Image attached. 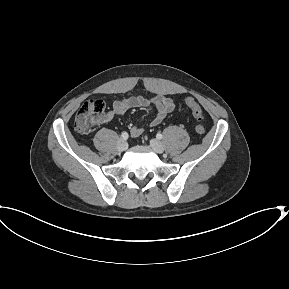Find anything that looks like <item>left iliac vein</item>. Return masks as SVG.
I'll use <instances>...</instances> for the list:
<instances>
[{
    "instance_id": "left-iliac-vein-1",
    "label": "left iliac vein",
    "mask_w": 289,
    "mask_h": 289,
    "mask_svg": "<svg viewBox=\"0 0 289 289\" xmlns=\"http://www.w3.org/2000/svg\"><path fill=\"white\" fill-rule=\"evenodd\" d=\"M150 146L152 147V149L156 153H163L164 150H165L164 145L162 144V142H160L159 140H156V139L150 140Z\"/></svg>"
}]
</instances>
